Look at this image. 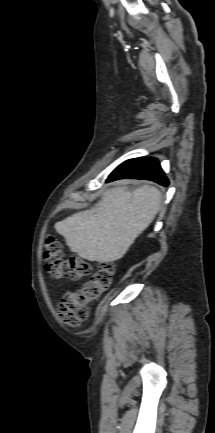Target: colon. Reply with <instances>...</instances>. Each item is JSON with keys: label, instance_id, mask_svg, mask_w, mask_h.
<instances>
[{"label": "colon", "instance_id": "colon-1", "mask_svg": "<svg viewBox=\"0 0 215 433\" xmlns=\"http://www.w3.org/2000/svg\"><path fill=\"white\" fill-rule=\"evenodd\" d=\"M44 259L47 270L58 279H80L92 272L86 260L73 256L64 258L62 244L53 235H47L44 245ZM114 267L102 262L81 288L65 292L58 304V317L68 325H78L88 318L89 307L112 284Z\"/></svg>", "mask_w": 215, "mask_h": 433}]
</instances>
